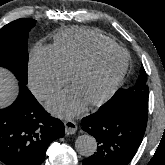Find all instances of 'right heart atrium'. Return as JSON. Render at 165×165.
Returning <instances> with one entry per match:
<instances>
[{
    "label": "right heart atrium",
    "instance_id": "1",
    "mask_svg": "<svg viewBox=\"0 0 165 165\" xmlns=\"http://www.w3.org/2000/svg\"><path fill=\"white\" fill-rule=\"evenodd\" d=\"M68 82V74L49 47L33 49L29 63V83L34 93L46 99Z\"/></svg>",
    "mask_w": 165,
    "mask_h": 165
}]
</instances>
